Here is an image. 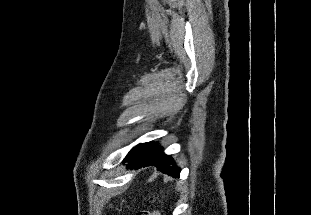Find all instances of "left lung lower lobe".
Masks as SVG:
<instances>
[{"instance_id":"left-lung-lower-lobe-1","label":"left lung lower lobe","mask_w":311,"mask_h":215,"mask_svg":"<svg viewBox=\"0 0 311 215\" xmlns=\"http://www.w3.org/2000/svg\"><path fill=\"white\" fill-rule=\"evenodd\" d=\"M123 162H128V168H141L145 166H155L172 177H179L180 169L174 165L172 158L162 153V148L156 143L148 142L138 144L125 157Z\"/></svg>"}]
</instances>
